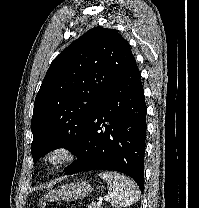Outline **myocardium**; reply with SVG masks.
Here are the masks:
<instances>
[{
    "mask_svg": "<svg viewBox=\"0 0 199 208\" xmlns=\"http://www.w3.org/2000/svg\"><path fill=\"white\" fill-rule=\"evenodd\" d=\"M75 147L68 142H58L53 144L45 153V162L52 168H62L76 158Z\"/></svg>",
    "mask_w": 199,
    "mask_h": 208,
    "instance_id": "f54148a6",
    "label": "myocardium"
}]
</instances>
